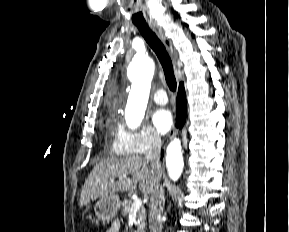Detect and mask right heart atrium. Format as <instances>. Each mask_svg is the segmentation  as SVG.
I'll return each instance as SVG.
<instances>
[{
  "mask_svg": "<svg viewBox=\"0 0 289 232\" xmlns=\"http://www.w3.org/2000/svg\"><path fill=\"white\" fill-rule=\"evenodd\" d=\"M161 146L160 135L150 126L129 129L118 122L114 131L112 149L121 155H141L156 151Z\"/></svg>",
  "mask_w": 289,
  "mask_h": 232,
  "instance_id": "obj_1",
  "label": "right heart atrium"
}]
</instances>
